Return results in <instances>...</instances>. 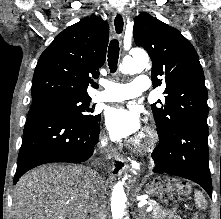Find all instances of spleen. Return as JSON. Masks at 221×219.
Masks as SVG:
<instances>
[{
    "mask_svg": "<svg viewBox=\"0 0 221 219\" xmlns=\"http://www.w3.org/2000/svg\"><path fill=\"white\" fill-rule=\"evenodd\" d=\"M195 201L199 207L205 208L206 200H205L204 196L201 194V192H199V191L195 192Z\"/></svg>",
    "mask_w": 221,
    "mask_h": 219,
    "instance_id": "3e777b00",
    "label": "spleen"
}]
</instances>
